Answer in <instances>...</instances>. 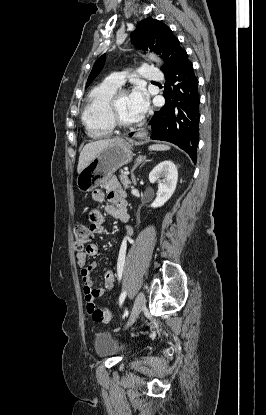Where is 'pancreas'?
<instances>
[{"label":"pancreas","instance_id":"cf45deb5","mask_svg":"<svg viewBox=\"0 0 266 415\" xmlns=\"http://www.w3.org/2000/svg\"><path fill=\"white\" fill-rule=\"evenodd\" d=\"M120 181L123 184L124 188H128L131 185V182L126 174L123 171L120 173Z\"/></svg>","mask_w":266,"mask_h":415}]
</instances>
